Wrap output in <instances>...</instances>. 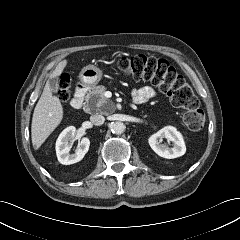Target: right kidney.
Masks as SVG:
<instances>
[{"label": "right kidney", "mask_w": 240, "mask_h": 240, "mask_svg": "<svg viewBox=\"0 0 240 240\" xmlns=\"http://www.w3.org/2000/svg\"><path fill=\"white\" fill-rule=\"evenodd\" d=\"M75 134L76 128L74 126H69L61 132L56 141V155L58 161L63 165H70L81 161L89 150L90 140L84 137L78 144L75 153H69L71 148L69 141L75 137Z\"/></svg>", "instance_id": "right-kidney-1"}]
</instances>
